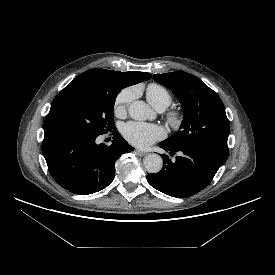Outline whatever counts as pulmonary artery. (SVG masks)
I'll use <instances>...</instances> for the list:
<instances>
[{
    "label": "pulmonary artery",
    "instance_id": "pulmonary-artery-1",
    "mask_svg": "<svg viewBox=\"0 0 275 275\" xmlns=\"http://www.w3.org/2000/svg\"><path fill=\"white\" fill-rule=\"evenodd\" d=\"M158 110H159V111H162V110H164V109L161 108V109H158Z\"/></svg>",
    "mask_w": 275,
    "mask_h": 275
}]
</instances>
